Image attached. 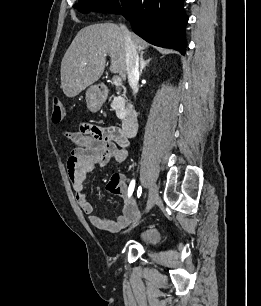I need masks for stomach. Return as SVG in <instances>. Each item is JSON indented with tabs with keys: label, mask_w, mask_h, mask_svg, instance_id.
Segmentation results:
<instances>
[{
	"label": "stomach",
	"mask_w": 261,
	"mask_h": 306,
	"mask_svg": "<svg viewBox=\"0 0 261 306\" xmlns=\"http://www.w3.org/2000/svg\"><path fill=\"white\" fill-rule=\"evenodd\" d=\"M102 97L96 86H91L86 91V103L90 111L96 112L102 106Z\"/></svg>",
	"instance_id": "1"
}]
</instances>
